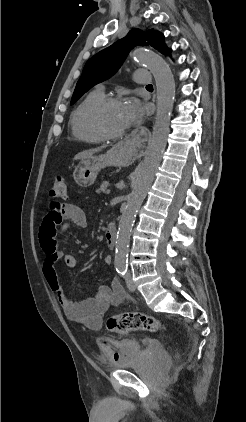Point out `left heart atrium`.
<instances>
[{
  "label": "left heart atrium",
  "instance_id": "1",
  "mask_svg": "<svg viewBox=\"0 0 246 422\" xmlns=\"http://www.w3.org/2000/svg\"><path fill=\"white\" fill-rule=\"evenodd\" d=\"M123 111L127 127L137 123L143 114L140 103L134 98L129 99L123 104Z\"/></svg>",
  "mask_w": 246,
  "mask_h": 422
}]
</instances>
